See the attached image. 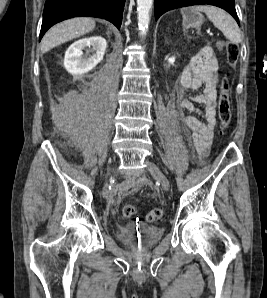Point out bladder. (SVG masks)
<instances>
[{"label":"bladder","mask_w":267,"mask_h":298,"mask_svg":"<svg viewBox=\"0 0 267 298\" xmlns=\"http://www.w3.org/2000/svg\"><path fill=\"white\" fill-rule=\"evenodd\" d=\"M164 230L157 226L128 224L118 229V238L136 249H148L154 246L163 236Z\"/></svg>","instance_id":"1"}]
</instances>
